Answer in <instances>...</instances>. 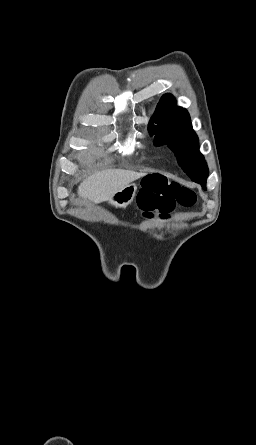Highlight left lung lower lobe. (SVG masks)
I'll return each mask as SVG.
<instances>
[{
  "mask_svg": "<svg viewBox=\"0 0 256 445\" xmlns=\"http://www.w3.org/2000/svg\"><path fill=\"white\" fill-rule=\"evenodd\" d=\"M204 189H206V183H199Z\"/></svg>",
  "mask_w": 256,
  "mask_h": 445,
  "instance_id": "0a47b994",
  "label": "left lung lower lobe"
}]
</instances>
